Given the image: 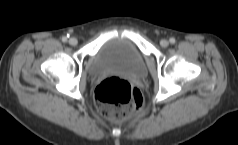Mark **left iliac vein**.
<instances>
[{"instance_id":"left-iliac-vein-1","label":"left iliac vein","mask_w":238,"mask_h":145,"mask_svg":"<svg viewBox=\"0 0 238 145\" xmlns=\"http://www.w3.org/2000/svg\"><path fill=\"white\" fill-rule=\"evenodd\" d=\"M160 45H161L162 47H167V46L169 45V42H168V40H166V39H162V40L160 41Z\"/></svg>"}]
</instances>
